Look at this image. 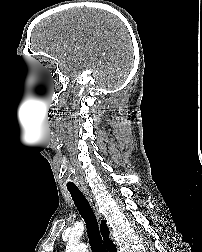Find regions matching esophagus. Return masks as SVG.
<instances>
[{
	"label": "esophagus",
	"instance_id": "34e87169",
	"mask_svg": "<svg viewBox=\"0 0 202 252\" xmlns=\"http://www.w3.org/2000/svg\"><path fill=\"white\" fill-rule=\"evenodd\" d=\"M81 190H82L83 194L85 195V197L87 198V200L89 201V203H90L96 217L98 219H100L101 214H100V212L98 210V205H97V202H96L94 196L92 195V193H90L89 189H87L86 187H82Z\"/></svg>",
	"mask_w": 202,
	"mask_h": 252
}]
</instances>
